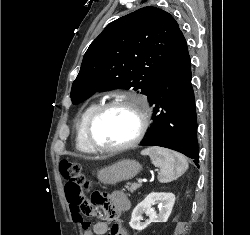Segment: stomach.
<instances>
[{"instance_id":"1","label":"stomach","mask_w":250,"mask_h":235,"mask_svg":"<svg viewBox=\"0 0 250 235\" xmlns=\"http://www.w3.org/2000/svg\"><path fill=\"white\" fill-rule=\"evenodd\" d=\"M140 169L141 165L137 161L124 159L99 170L97 178L103 184L115 185L134 178Z\"/></svg>"}]
</instances>
